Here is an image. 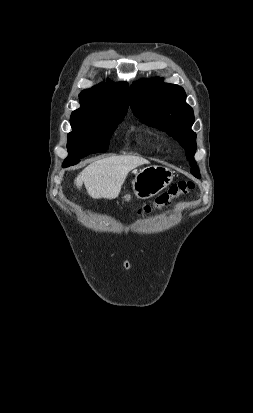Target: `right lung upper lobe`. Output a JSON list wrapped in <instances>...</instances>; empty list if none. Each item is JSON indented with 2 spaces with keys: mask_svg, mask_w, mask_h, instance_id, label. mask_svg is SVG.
Listing matches in <instances>:
<instances>
[{
  "mask_svg": "<svg viewBox=\"0 0 253 413\" xmlns=\"http://www.w3.org/2000/svg\"><path fill=\"white\" fill-rule=\"evenodd\" d=\"M81 107L72 112L70 122L93 121L105 117L126 115L128 110V84L126 82L101 83L80 95Z\"/></svg>",
  "mask_w": 253,
  "mask_h": 413,
  "instance_id": "right-lung-upper-lobe-1",
  "label": "right lung upper lobe"
}]
</instances>
